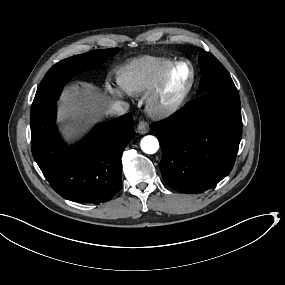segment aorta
<instances>
[{
  "mask_svg": "<svg viewBox=\"0 0 285 285\" xmlns=\"http://www.w3.org/2000/svg\"><path fill=\"white\" fill-rule=\"evenodd\" d=\"M141 149L146 154H155L159 149V142L154 136H146L141 140Z\"/></svg>",
  "mask_w": 285,
  "mask_h": 285,
  "instance_id": "obj_1",
  "label": "aorta"
}]
</instances>
